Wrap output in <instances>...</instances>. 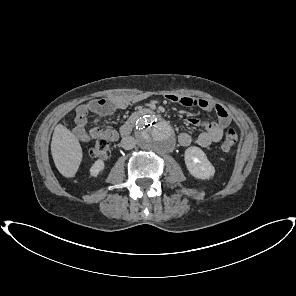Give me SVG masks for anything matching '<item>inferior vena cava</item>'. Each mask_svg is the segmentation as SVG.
<instances>
[{
	"label": "inferior vena cava",
	"instance_id": "inferior-vena-cava-1",
	"mask_svg": "<svg viewBox=\"0 0 296 296\" xmlns=\"http://www.w3.org/2000/svg\"><path fill=\"white\" fill-rule=\"evenodd\" d=\"M136 145V141L133 137L131 136H126L122 139L121 141V146L125 149V150H131L135 147Z\"/></svg>",
	"mask_w": 296,
	"mask_h": 296
}]
</instances>
